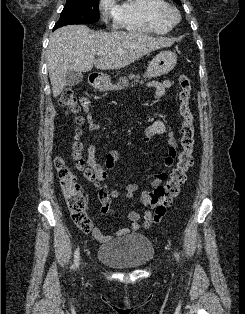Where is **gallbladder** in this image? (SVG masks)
<instances>
[{"instance_id":"bac80fb5","label":"gallbladder","mask_w":245,"mask_h":314,"mask_svg":"<svg viewBox=\"0 0 245 314\" xmlns=\"http://www.w3.org/2000/svg\"><path fill=\"white\" fill-rule=\"evenodd\" d=\"M83 74L80 71H68L65 76L67 86H76L83 80Z\"/></svg>"}]
</instances>
